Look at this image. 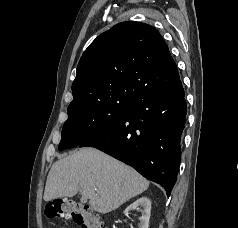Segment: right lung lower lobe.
I'll use <instances>...</instances> for the list:
<instances>
[{"label":"right lung lower lobe","instance_id":"1","mask_svg":"<svg viewBox=\"0 0 238 228\" xmlns=\"http://www.w3.org/2000/svg\"><path fill=\"white\" fill-rule=\"evenodd\" d=\"M186 101L180 80L128 103L114 124L79 145L97 148L162 185L167 195L176 182Z\"/></svg>","mask_w":238,"mask_h":228}]
</instances>
